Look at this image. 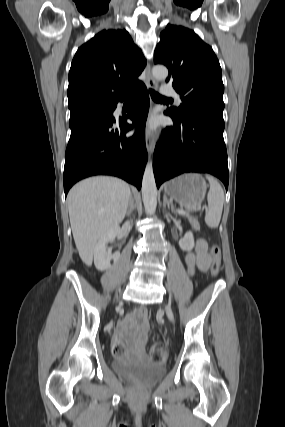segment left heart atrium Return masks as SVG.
<instances>
[{"label": "left heart atrium", "mask_w": 285, "mask_h": 427, "mask_svg": "<svg viewBox=\"0 0 285 427\" xmlns=\"http://www.w3.org/2000/svg\"><path fill=\"white\" fill-rule=\"evenodd\" d=\"M155 126H156L155 121H151V122L148 124V128H150V129L155 128Z\"/></svg>", "instance_id": "left-heart-atrium-1"}]
</instances>
